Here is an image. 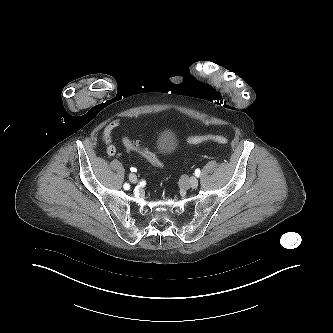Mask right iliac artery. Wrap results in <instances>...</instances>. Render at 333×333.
Masks as SVG:
<instances>
[{
	"mask_svg": "<svg viewBox=\"0 0 333 333\" xmlns=\"http://www.w3.org/2000/svg\"><path fill=\"white\" fill-rule=\"evenodd\" d=\"M123 187H124L125 190H129L130 189V185L128 183H125Z\"/></svg>",
	"mask_w": 333,
	"mask_h": 333,
	"instance_id": "82829eb1",
	"label": "right iliac artery"
}]
</instances>
